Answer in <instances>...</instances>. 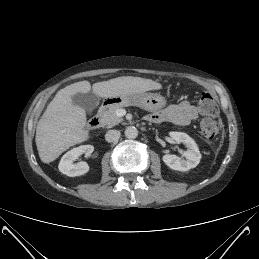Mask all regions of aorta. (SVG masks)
Wrapping results in <instances>:
<instances>
[{
  "mask_svg": "<svg viewBox=\"0 0 259 259\" xmlns=\"http://www.w3.org/2000/svg\"><path fill=\"white\" fill-rule=\"evenodd\" d=\"M125 136L128 139H135L138 136V130L134 126H129L125 129Z\"/></svg>",
  "mask_w": 259,
  "mask_h": 259,
  "instance_id": "1",
  "label": "aorta"
}]
</instances>
